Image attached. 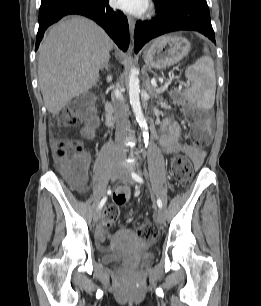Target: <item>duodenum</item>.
<instances>
[{"instance_id": "obj_1", "label": "duodenum", "mask_w": 261, "mask_h": 306, "mask_svg": "<svg viewBox=\"0 0 261 306\" xmlns=\"http://www.w3.org/2000/svg\"><path fill=\"white\" fill-rule=\"evenodd\" d=\"M106 123L108 126L113 124V105L111 103L106 104Z\"/></svg>"}]
</instances>
